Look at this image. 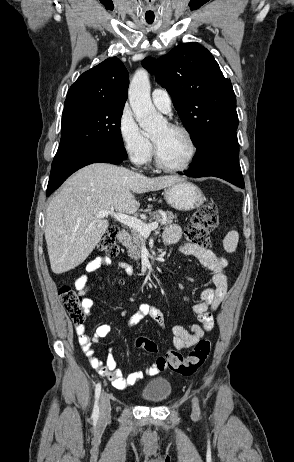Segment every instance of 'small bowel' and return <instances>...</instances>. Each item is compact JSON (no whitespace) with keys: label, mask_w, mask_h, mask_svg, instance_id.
Segmentation results:
<instances>
[{"label":"small bowel","mask_w":294,"mask_h":462,"mask_svg":"<svg viewBox=\"0 0 294 462\" xmlns=\"http://www.w3.org/2000/svg\"><path fill=\"white\" fill-rule=\"evenodd\" d=\"M181 238V229L178 225H170L164 232L163 241L166 245H172L179 242ZM180 251L184 255H192L197 257L201 263L212 272L213 287L206 288L201 292L200 302L193 306V312L196 315L199 324H194L189 330L181 325H175L172 328L173 345L177 350H185L195 345L204 335L213 327L212 312L215 311L227 293V261L223 257L216 256L210 250H203L188 241L180 244ZM113 261L110 257H97L90 261L85 268L86 273L79 276L75 281V287L81 296H86L90 292L89 275L94 274L102 267L110 266ZM118 265L124 268L129 274L132 273L131 268L123 263ZM123 284V280L120 281ZM83 306L88 314L93 306L92 299L84 297ZM146 317L151 318L161 327H164L163 312L155 305L142 303L138 310L124 321L126 327L139 325ZM78 336V342L87 357L91 367L100 375L106 377L111 384L117 389H123L132 386L141 380L144 376L143 371H134L127 375L123 374L121 368L117 366V360L113 354V348L109 349V353L105 361L100 360L95 356L93 345L98 343L102 338L107 337L111 333V326L107 323H102L97 326L93 335L86 332L85 325L81 324L75 328ZM163 371L159 368L155 361L152 365L146 368L145 374L149 376L157 375Z\"/></svg>","instance_id":"1"}]
</instances>
